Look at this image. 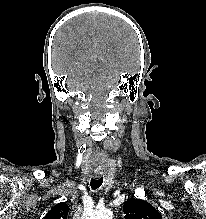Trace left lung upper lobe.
<instances>
[{
  "label": "left lung upper lobe",
  "mask_w": 206,
  "mask_h": 219,
  "mask_svg": "<svg viewBox=\"0 0 206 219\" xmlns=\"http://www.w3.org/2000/svg\"><path fill=\"white\" fill-rule=\"evenodd\" d=\"M125 219H162L161 214L148 202L128 199L123 205Z\"/></svg>",
  "instance_id": "obj_1"
}]
</instances>
